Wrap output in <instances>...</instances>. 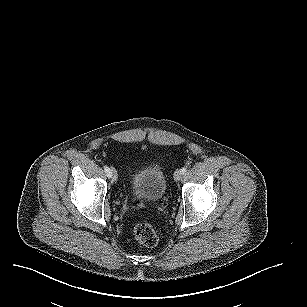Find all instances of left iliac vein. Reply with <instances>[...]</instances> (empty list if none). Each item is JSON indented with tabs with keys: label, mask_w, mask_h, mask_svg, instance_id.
<instances>
[{
	"label": "left iliac vein",
	"mask_w": 307,
	"mask_h": 307,
	"mask_svg": "<svg viewBox=\"0 0 307 307\" xmlns=\"http://www.w3.org/2000/svg\"><path fill=\"white\" fill-rule=\"evenodd\" d=\"M181 178H182V172H181V170H176L175 171V173H174V180L176 181V182H178V181H180L181 180Z\"/></svg>",
	"instance_id": "1"
}]
</instances>
